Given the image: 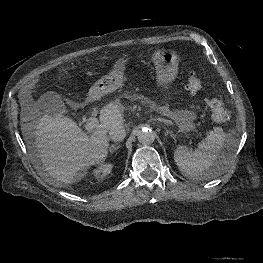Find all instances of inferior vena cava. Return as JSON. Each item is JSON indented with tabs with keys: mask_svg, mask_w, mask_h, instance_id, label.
I'll return each instance as SVG.
<instances>
[{
	"mask_svg": "<svg viewBox=\"0 0 263 263\" xmlns=\"http://www.w3.org/2000/svg\"><path fill=\"white\" fill-rule=\"evenodd\" d=\"M126 137L125 128L122 125L113 126L109 132V138L114 142L122 141Z\"/></svg>",
	"mask_w": 263,
	"mask_h": 263,
	"instance_id": "inferior-vena-cava-1",
	"label": "inferior vena cava"
}]
</instances>
